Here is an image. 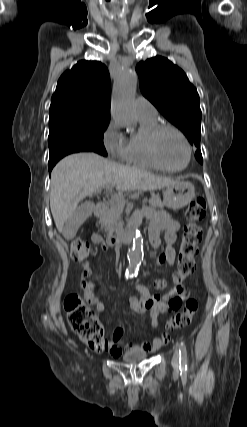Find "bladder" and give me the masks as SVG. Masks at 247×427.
<instances>
[{
    "label": "bladder",
    "instance_id": "1",
    "mask_svg": "<svg viewBox=\"0 0 247 427\" xmlns=\"http://www.w3.org/2000/svg\"><path fill=\"white\" fill-rule=\"evenodd\" d=\"M147 358V352L141 349H132L125 352L122 360L127 363H137Z\"/></svg>",
    "mask_w": 247,
    "mask_h": 427
}]
</instances>
